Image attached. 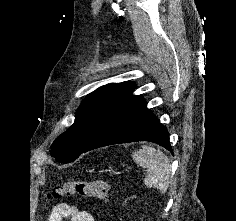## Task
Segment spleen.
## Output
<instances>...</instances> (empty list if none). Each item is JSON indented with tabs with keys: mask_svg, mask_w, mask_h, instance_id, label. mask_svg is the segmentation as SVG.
<instances>
[{
	"mask_svg": "<svg viewBox=\"0 0 236 221\" xmlns=\"http://www.w3.org/2000/svg\"><path fill=\"white\" fill-rule=\"evenodd\" d=\"M134 161L147 169L144 183L148 187L158 188L165 192L169 186L171 165L168 157L160 150L143 145L133 153Z\"/></svg>",
	"mask_w": 236,
	"mask_h": 221,
	"instance_id": "spleen-1",
	"label": "spleen"
}]
</instances>
